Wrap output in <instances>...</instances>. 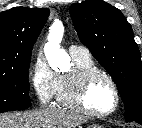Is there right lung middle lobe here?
Wrapping results in <instances>:
<instances>
[{
    "instance_id": "obj_1",
    "label": "right lung middle lobe",
    "mask_w": 142,
    "mask_h": 128,
    "mask_svg": "<svg viewBox=\"0 0 142 128\" xmlns=\"http://www.w3.org/2000/svg\"><path fill=\"white\" fill-rule=\"evenodd\" d=\"M29 64L30 60L15 69L0 71V113L31 106Z\"/></svg>"
}]
</instances>
